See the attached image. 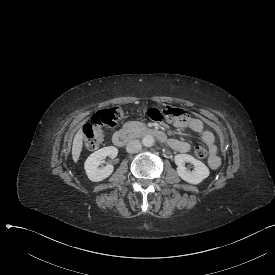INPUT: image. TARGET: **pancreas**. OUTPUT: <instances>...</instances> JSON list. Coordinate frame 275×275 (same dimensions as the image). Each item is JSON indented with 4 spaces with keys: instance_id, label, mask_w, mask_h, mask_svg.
<instances>
[{
    "instance_id": "1",
    "label": "pancreas",
    "mask_w": 275,
    "mask_h": 275,
    "mask_svg": "<svg viewBox=\"0 0 275 275\" xmlns=\"http://www.w3.org/2000/svg\"><path fill=\"white\" fill-rule=\"evenodd\" d=\"M146 129V124L138 121H129L122 126V131L130 135L138 134Z\"/></svg>"
}]
</instances>
